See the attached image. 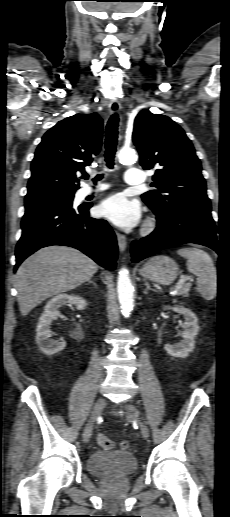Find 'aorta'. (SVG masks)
<instances>
[{
  "label": "aorta",
  "instance_id": "aorta-1",
  "mask_svg": "<svg viewBox=\"0 0 230 517\" xmlns=\"http://www.w3.org/2000/svg\"><path fill=\"white\" fill-rule=\"evenodd\" d=\"M117 156L121 163H134L137 159L136 152L130 148H122ZM133 291L129 272L126 268H122L117 280V292L121 312L125 317H128L133 309Z\"/></svg>",
  "mask_w": 230,
  "mask_h": 517
}]
</instances>
